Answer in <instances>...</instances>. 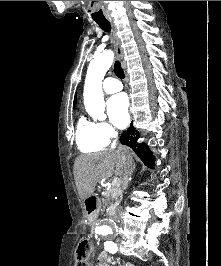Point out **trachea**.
Segmentation results:
<instances>
[{"label":"trachea","mask_w":221,"mask_h":266,"mask_svg":"<svg viewBox=\"0 0 221 266\" xmlns=\"http://www.w3.org/2000/svg\"><path fill=\"white\" fill-rule=\"evenodd\" d=\"M96 23L100 26V28L105 31V32H110L111 31V26L108 20H101V21H96ZM114 72L116 76L120 79H124V71L121 67V64L119 61L115 62L114 65Z\"/></svg>","instance_id":"obj_1"}]
</instances>
